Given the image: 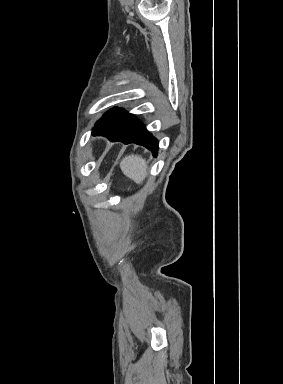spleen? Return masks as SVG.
<instances>
[{
    "label": "spleen",
    "mask_w": 283,
    "mask_h": 384,
    "mask_svg": "<svg viewBox=\"0 0 283 384\" xmlns=\"http://www.w3.org/2000/svg\"><path fill=\"white\" fill-rule=\"evenodd\" d=\"M120 168L127 178L136 182V184H141L144 178L147 176V162L142 158V156H126L120 162Z\"/></svg>",
    "instance_id": "3e777b00"
}]
</instances>
